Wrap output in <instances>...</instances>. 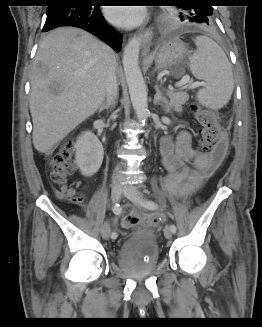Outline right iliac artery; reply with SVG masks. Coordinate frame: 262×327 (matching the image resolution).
Segmentation results:
<instances>
[{
  "mask_svg": "<svg viewBox=\"0 0 262 327\" xmlns=\"http://www.w3.org/2000/svg\"><path fill=\"white\" fill-rule=\"evenodd\" d=\"M112 210H113V213H114V214H116V215H120L122 208L120 207L119 204L116 203V204L113 206ZM111 237H112L113 239H116V238H117V233L113 232V233L111 234Z\"/></svg>",
  "mask_w": 262,
  "mask_h": 327,
  "instance_id": "1",
  "label": "right iliac artery"
}]
</instances>
